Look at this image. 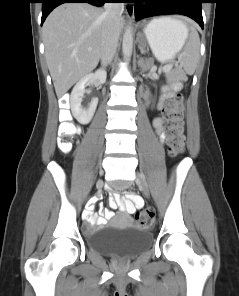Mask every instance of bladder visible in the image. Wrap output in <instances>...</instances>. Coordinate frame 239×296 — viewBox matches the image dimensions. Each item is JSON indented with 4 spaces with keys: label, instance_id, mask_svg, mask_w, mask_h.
Instances as JSON below:
<instances>
[{
    "label": "bladder",
    "instance_id": "31cf9c89",
    "mask_svg": "<svg viewBox=\"0 0 239 296\" xmlns=\"http://www.w3.org/2000/svg\"><path fill=\"white\" fill-rule=\"evenodd\" d=\"M152 233L137 225L103 226L86 237L88 245L102 255L135 257L152 244Z\"/></svg>",
    "mask_w": 239,
    "mask_h": 296
}]
</instances>
